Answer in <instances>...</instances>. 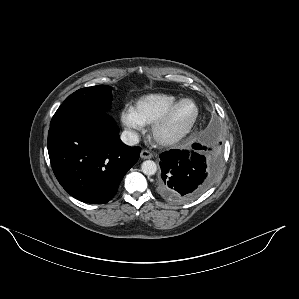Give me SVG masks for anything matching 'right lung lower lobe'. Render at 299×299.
I'll return each instance as SVG.
<instances>
[{"label": "right lung lower lobe", "instance_id": "obj_1", "mask_svg": "<svg viewBox=\"0 0 299 299\" xmlns=\"http://www.w3.org/2000/svg\"><path fill=\"white\" fill-rule=\"evenodd\" d=\"M48 153L61 186L74 198L104 204L137 162L139 147L125 145L106 113H81L50 125Z\"/></svg>", "mask_w": 299, "mask_h": 299}]
</instances>
